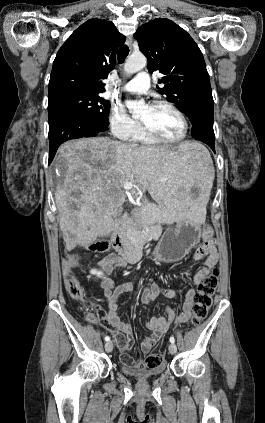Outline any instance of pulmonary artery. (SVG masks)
Segmentation results:
<instances>
[{"mask_svg":"<svg viewBox=\"0 0 265 423\" xmlns=\"http://www.w3.org/2000/svg\"><path fill=\"white\" fill-rule=\"evenodd\" d=\"M149 87V75L145 71H142L138 73L134 79L126 83L122 87V90L134 94H145L147 93Z\"/></svg>","mask_w":265,"mask_h":423,"instance_id":"1","label":"pulmonary artery"}]
</instances>
